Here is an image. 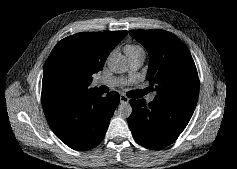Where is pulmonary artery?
Segmentation results:
<instances>
[{"mask_svg":"<svg viewBox=\"0 0 237 169\" xmlns=\"http://www.w3.org/2000/svg\"><path fill=\"white\" fill-rule=\"evenodd\" d=\"M130 61H131V64L134 68H138L143 63L144 56H138V57L132 58V59H130ZM94 83H95V85H105L108 87H114L118 84V80L111 78V77H103L101 79H98ZM152 100H153V96H150L149 101H152Z\"/></svg>","mask_w":237,"mask_h":169,"instance_id":"e3ab8cb5","label":"pulmonary artery"}]
</instances>
